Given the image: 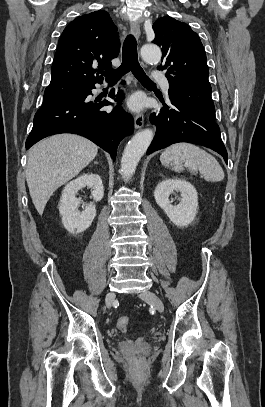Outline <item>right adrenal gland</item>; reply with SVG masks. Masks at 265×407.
<instances>
[{
  "label": "right adrenal gland",
  "instance_id": "2a0ac1e0",
  "mask_svg": "<svg viewBox=\"0 0 265 407\" xmlns=\"http://www.w3.org/2000/svg\"><path fill=\"white\" fill-rule=\"evenodd\" d=\"M94 164H98V162L95 161Z\"/></svg>",
  "mask_w": 265,
  "mask_h": 407
}]
</instances>
